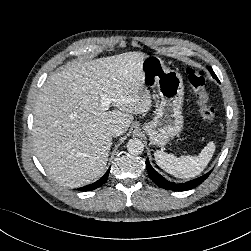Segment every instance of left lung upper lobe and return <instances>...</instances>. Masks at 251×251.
Masks as SVG:
<instances>
[{
    "instance_id": "5c2ea615",
    "label": "left lung upper lobe",
    "mask_w": 251,
    "mask_h": 251,
    "mask_svg": "<svg viewBox=\"0 0 251 251\" xmlns=\"http://www.w3.org/2000/svg\"><path fill=\"white\" fill-rule=\"evenodd\" d=\"M208 70L210 71L211 75L216 79L217 76L215 75V73L213 72L211 67H208Z\"/></svg>"
}]
</instances>
